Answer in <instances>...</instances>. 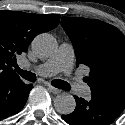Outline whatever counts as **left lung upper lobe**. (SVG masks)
<instances>
[{
    "label": "left lung upper lobe",
    "mask_w": 125,
    "mask_h": 125,
    "mask_svg": "<svg viewBox=\"0 0 125 125\" xmlns=\"http://www.w3.org/2000/svg\"><path fill=\"white\" fill-rule=\"evenodd\" d=\"M61 25L73 44L77 66L90 68L85 80L91 94L125 97V36L120 30L80 17H62Z\"/></svg>",
    "instance_id": "left-lung-upper-lobe-1"
}]
</instances>
